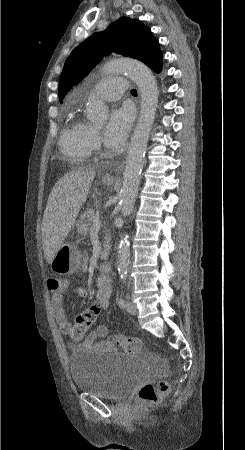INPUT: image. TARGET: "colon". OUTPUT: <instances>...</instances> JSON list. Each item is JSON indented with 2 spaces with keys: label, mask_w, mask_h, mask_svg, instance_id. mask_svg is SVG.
<instances>
[{
  "label": "colon",
  "mask_w": 245,
  "mask_h": 450,
  "mask_svg": "<svg viewBox=\"0 0 245 450\" xmlns=\"http://www.w3.org/2000/svg\"><path fill=\"white\" fill-rule=\"evenodd\" d=\"M64 282V278L50 277L47 280V288L49 291H58L62 289ZM98 313V307H91L79 313L71 330V338L75 341H81L88 329L95 323ZM113 339L119 346L129 352L138 350L140 346L138 341L132 337L115 335ZM170 388L171 383L168 380H162L156 385L148 383L140 388L138 398L144 404L154 405L170 391Z\"/></svg>",
  "instance_id": "5ec220e1"
}]
</instances>
